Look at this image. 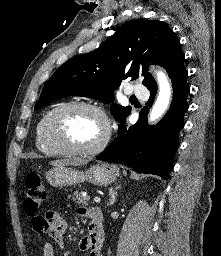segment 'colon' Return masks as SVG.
Returning a JSON list of instances; mask_svg holds the SVG:
<instances>
[{"instance_id": "1", "label": "colon", "mask_w": 221, "mask_h": 256, "mask_svg": "<svg viewBox=\"0 0 221 256\" xmlns=\"http://www.w3.org/2000/svg\"><path fill=\"white\" fill-rule=\"evenodd\" d=\"M25 188L24 209L29 216H33L46 198V190L39 174L28 173L25 178Z\"/></svg>"}]
</instances>
